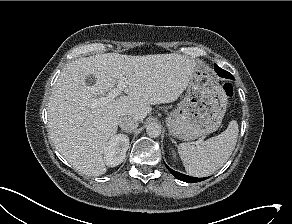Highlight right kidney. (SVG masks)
<instances>
[{"mask_svg": "<svg viewBox=\"0 0 292 224\" xmlns=\"http://www.w3.org/2000/svg\"><path fill=\"white\" fill-rule=\"evenodd\" d=\"M129 148V138L126 135L118 134L113 136L104 151V163L108 167H115L121 164Z\"/></svg>", "mask_w": 292, "mask_h": 224, "instance_id": "obj_1", "label": "right kidney"}]
</instances>
